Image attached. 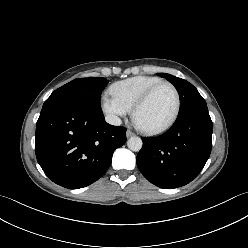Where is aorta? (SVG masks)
Wrapping results in <instances>:
<instances>
[{
    "label": "aorta",
    "instance_id": "1",
    "mask_svg": "<svg viewBox=\"0 0 248 248\" xmlns=\"http://www.w3.org/2000/svg\"><path fill=\"white\" fill-rule=\"evenodd\" d=\"M142 145H143V142H142L141 138H139L137 136H133V137L129 138L127 141L128 148L134 152L140 151L142 148Z\"/></svg>",
    "mask_w": 248,
    "mask_h": 248
}]
</instances>
